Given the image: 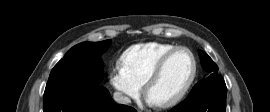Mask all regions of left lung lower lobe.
<instances>
[{
    "instance_id": "1",
    "label": "left lung lower lobe",
    "mask_w": 270,
    "mask_h": 112,
    "mask_svg": "<svg viewBox=\"0 0 270 112\" xmlns=\"http://www.w3.org/2000/svg\"><path fill=\"white\" fill-rule=\"evenodd\" d=\"M226 94L225 81L217 78L169 112H226Z\"/></svg>"
}]
</instances>
